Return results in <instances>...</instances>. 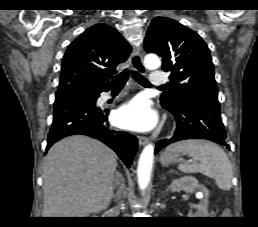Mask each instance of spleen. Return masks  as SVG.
Instances as JSON below:
<instances>
[{
  "instance_id": "obj_1",
  "label": "spleen",
  "mask_w": 258,
  "mask_h": 227,
  "mask_svg": "<svg viewBox=\"0 0 258 227\" xmlns=\"http://www.w3.org/2000/svg\"><path fill=\"white\" fill-rule=\"evenodd\" d=\"M168 153L182 152L199 161V163H183L179 170L184 173H202L215 180L216 185L225 191L231 189L232 165L227 154L217 144L199 139L182 140L169 145Z\"/></svg>"
}]
</instances>
